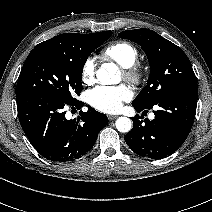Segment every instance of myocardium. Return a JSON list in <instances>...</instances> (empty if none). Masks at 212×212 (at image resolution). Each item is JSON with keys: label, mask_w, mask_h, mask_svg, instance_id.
Masks as SVG:
<instances>
[{"label": "myocardium", "mask_w": 212, "mask_h": 212, "mask_svg": "<svg viewBox=\"0 0 212 212\" xmlns=\"http://www.w3.org/2000/svg\"><path fill=\"white\" fill-rule=\"evenodd\" d=\"M122 75L127 81L138 85L142 83L145 78V69L136 61L131 66L123 68Z\"/></svg>", "instance_id": "1"}]
</instances>
